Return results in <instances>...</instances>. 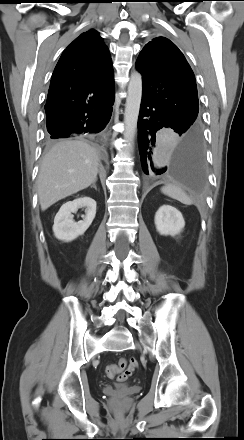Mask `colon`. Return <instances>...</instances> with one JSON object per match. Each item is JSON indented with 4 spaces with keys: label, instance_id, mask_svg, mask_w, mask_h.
<instances>
[{
    "label": "colon",
    "instance_id": "obj_1",
    "mask_svg": "<svg viewBox=\"0 0 244 440\" xmlns=\"http://www.w3.org/2000/svg\"><path fill=\"white\" fill-rule=\"evenodd\" d=\"M137 367V359L131 357L129 360L121 359L117 364L108 365L105 372L109 378L117 376L118 381H125Z\"/></svg>",
    "mask_w": 244,
    "mask_h": 440
}]
</instances>
